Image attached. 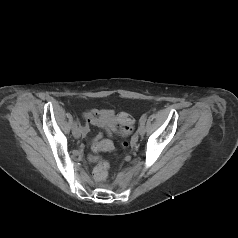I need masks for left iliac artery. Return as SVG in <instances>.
<instances>
[{
    "label": "left iliac artery",
    "instance_id": "left-iliac-artery-1",
    "mask_svg": "<svg viewBox=\"0 0 238 238\" xmlns=\"http://www.w3.org/2000/svg\"><path fill=\"white\" fill-rule=\"evenodd\" d=\"M146 119H147V115L146 114H143L140 118V124H145L146 122Z\"/></svg>",
    "mask_w": 238,
    "mask_h": 238
}]
</instances>
